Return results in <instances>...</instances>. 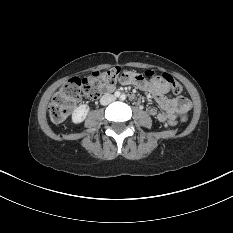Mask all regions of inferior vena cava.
I'll return each instance as SVG.
<instances>
[{
  "mask_svg": "<svg viewBox=\"0 0 233 233\" xmlns=\"http://www.w3.org/2000/svg\"><path fill=\"white\" fill-rule=\"evenodd\" d=\"M115 100L114 95L112 94H104L101 99H100V103L101 105H108L109 103H111L112 101Z\"/></svg>",
  "mask_w": 233,
  "mask_h": 233,
  "instance_id": "602c4592",
  "label": "inferior vena cava"
}]
</instances>
